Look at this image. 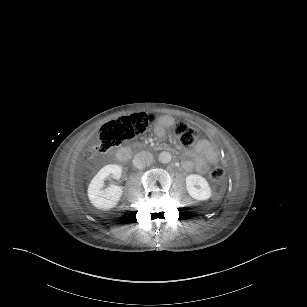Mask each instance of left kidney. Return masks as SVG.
<instances>
[{"label":"left kidney","mask_w":307,"mask_h":307,"mask_svg":"<svg viewBox=\"0 0 307 307\" xmlns=\"http://www.w3.org/2000/svg\"><path fill=\"white\" fill-rule=\"evenodd\" d=\"M186 191L190 197L199 201H206L212 196V189L208 181L198 174H190L185 178Z\"/></svg>","instance_id":"5707ae66"}]
</instances>
